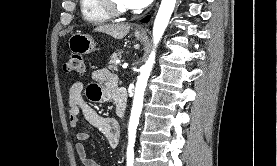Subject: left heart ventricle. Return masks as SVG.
<instances>
[{"mask_svg":"<svg viewBox=\"0 0 277 166\" xmlns=\"http://www.w3.org/2000/svg\"><path fill=\"white\" fill-rule=\"evenodd\" d=\"M116 2V4L119 6V7H122V8H128L125 3H124V0H114Z\"/></svg>","mask_w":277,"mask_h":166,"instance_id":"obj_1","label":"left heart ventricle"}]
</instances>
